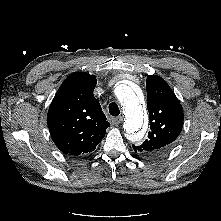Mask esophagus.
I'll use <instances>...</instances> for the list:
<instances>
[{
  "label": "esophagus",
  "mask_w": 221,
  "mask_h": 221,
  "mask_svg": "<svg viewBox=\"0 0 221 221\" xmlns=\"http://www.w3.org/2000/svg\"><path fill=\"white\" fill-rule=\"evenodd\" d=\"M122 117L121 116H117V117H115V118H113L112 119V123L114 124V125H119L121 122H122Z\"/></svg>",
  "instance_id": "obj_1"
}]
</instances>
